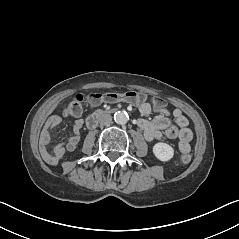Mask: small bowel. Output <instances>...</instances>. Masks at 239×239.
I'll list each match as a JSON object with an SVG mask.
<instances>
[{
	"instance_id": "1",
	"label": "small bowel",
	"mask_w": 239,
	"mask_h": 239,
	"mask_svg": "<svg viewBox=\"0 0 239 239\" xmlns=\"http://www.w3.org/2000/svg\"><path fill=\"white\" fill-rule=\"evenodd\" d=\"M144 116L158 113L159 116L149 120L142 118L138 121L139 127L148 141L159 140L165 135L169 139H177L182 154L189 153L190 142L193 134L189 129V121L183 112L176 108L169 111L163 107H156L151 103H142L139 107ZM62 122L59 115L51 116L45 123L40 135V153L42 158L51 165H55L63 157L66 151H73L80 140V131L84 126V120L78 118L74 121V134L64 142L57 143L50 149L51 132Z\"/></svg>"
}]
</instances>
